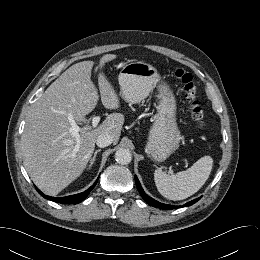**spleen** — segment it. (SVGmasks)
Wrapping results in <instances>:
<instances>
[{
    "label": "spleen",
    "instance_id": "3e777b00",
    "mask_svg": "<svg viewBox=\"0 0 260 260\" xmlns=\"http://www.w3.org/2000/svg\"><path fill=\"white\" fill-rule=\"evenodd\" d=\"M213 160L204 156L189 169L169 175L161 169L154 172V180L160 194L169 200H183L195 194L207 181Z\"/></svg>",
    "mask_w": 260,
    "mask_h": 260
}]
</instances>
